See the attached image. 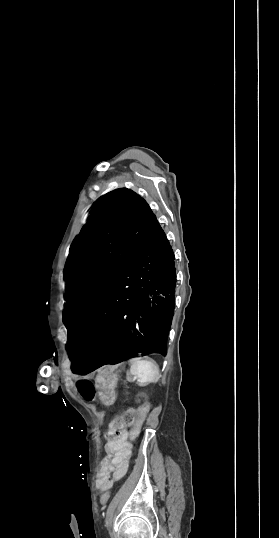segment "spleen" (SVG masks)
Segmentation results:
<instances>
[{"label":"spleen","instance_id":"3e777b00","mask_svg":"<svg viewBox=\"0 0 279 538\" xmlns=\"http://www.w3.org/2000/svg\"><path fill=\"white\" fill-rule=\"evenodd\" d=\"M131 374L142 378L140 383L147 385L149 382H157L159 380V366L151 360H141V358H132Z\"/></svg>","mask_w":279,"mask_h":538}]
</instances>
